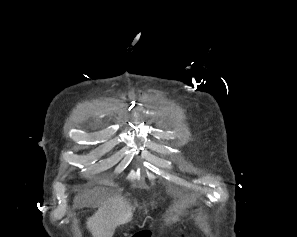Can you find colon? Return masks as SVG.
Segmentation results:
<instances>
[{"label":"colon","instance_id":"5ec220e1","mask_svg":"<svg viewBox=\"0 0 297 237\" xmlns=\"http://www.w3.org/2000/svg\"><path fill=\"white\" fill-rule=\"evenodd\" d=\"M133 237H151L150 233L148 232H140L138 234H135Z\"/></svg>","mask_w":297,"mask_h":237}]
</instances>
